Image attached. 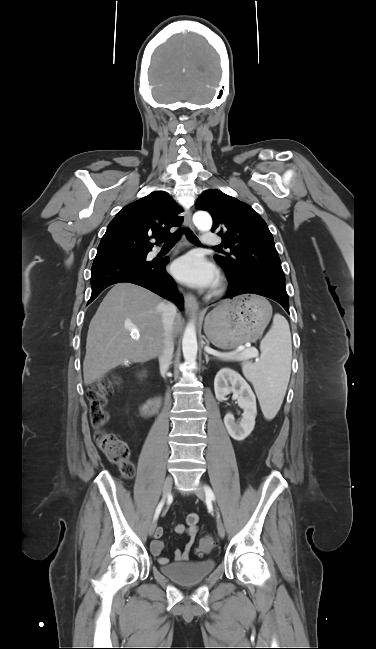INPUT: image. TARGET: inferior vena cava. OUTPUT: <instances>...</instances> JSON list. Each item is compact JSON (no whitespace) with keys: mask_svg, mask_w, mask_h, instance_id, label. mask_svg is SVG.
<instances>
[{"mask_svg":"<svg viewBox=\"0 0 376 649\" xmlns=\"http://www.w3.org/2000/svg\"><path fill=\"white\" fill-rule=\"evenodd\" d=\"M177 314V308L174 304L168 303L163 305L162 324L164 330L163 347L159 353V365L161 371L165 374L171 364L174 352L173 342V323Z\"/></svg>","mask_w":376,"mask_h":649,"instance_id":"602c4592","label":"inferior vena cava"}]
</instances>
